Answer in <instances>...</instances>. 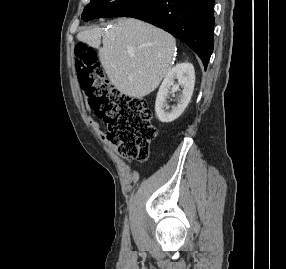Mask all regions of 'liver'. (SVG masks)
<instances>
[{"label": "liver", "instance_id": "1", "mask_svg": "<svg viewBox=\"0 0 286 269\" xmlns=\"http://www.w3.org/2000/svg\"><path fill=\"white\" fill-rule=\"evenodd\" d=\"M77 38L99 50L110 83L132 98H142L159 86L171 70L176 47L172 35L133 18L118 19L109 31H81Z\"/></svg>", "mask_w": 286, "mask_h": 269}]
</instances>
